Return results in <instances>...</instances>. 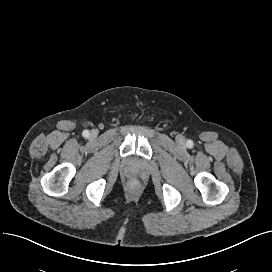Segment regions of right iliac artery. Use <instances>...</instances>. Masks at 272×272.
Wrapping results in <instances>:
<instances>
[{
	"label": "right iliac artery",
	"instance_id": "obj_1",
	"mask_svg": "<svg viewBox=\"0 0 272 272\" xmlns=\"http://www.w3.org/2000/svg\"><path fill=\"white\" fill-rule=\"evenodd\" d=\"M83 136L84 137H88L89 136V131L88 130H84L83 131Z\"/></svg>",
	"mask_w": 272,
	"mask_h": 272
}]
</instances>
